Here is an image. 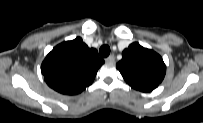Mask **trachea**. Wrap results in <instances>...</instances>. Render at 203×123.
<instances>
[{
  "label": "trachea",
  "mask_w": 203,
  "mask_h": 123,
  "mask_svg": "<svg viewBox=\"0 0 203 123\" xmlns=\"http://www.w3.org/2000/svg\"><path fill=\"white\" fill-rule=\"evenodd\" d=\"M99 54L101 57H107L110 54V47L108 45L101 46Z\"/></svg>",
  "instance_id": "3493384b"
}]
</instances>
